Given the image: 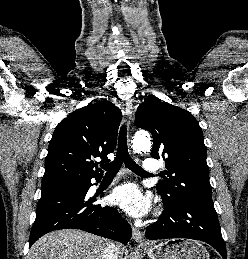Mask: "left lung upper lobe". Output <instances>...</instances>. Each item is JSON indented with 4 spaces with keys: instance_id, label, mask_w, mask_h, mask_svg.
<instances>
[{
    "instance_id": "1",
    "label": "left lung upper lobe",
    "mask_w": 248,
    "mask_h": 259,
    "mask_svg": "<svg viewBox=\"0 0 248 259\" xmlns=\"http://www.w3.org/2000/svg\"><path fill=\"white\" fill-rule=\"evenodd\" d=\"M135 125L152 134L151 156L166 163L169 178L156 184L163 202L213 204L206 146L194 116L152 96L138 107Z\"/></svg>"
}]
</instances>
